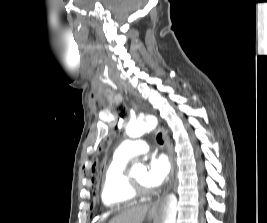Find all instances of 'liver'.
Here are the masks:
<instances>
[{"label":"liver","mask_w":267,"mask_h":223,"mask_svg":"<svg viewBox=\"0 0 267 223\" xmlns=\"http://www.w3.org/2000/svg\"><path fill=\"white\" fill-rule=\"evenodd\" d=\"M149 208L147 204L127 208L112 218L109 223H142Z\"/></svg>","instance_id":"obj_1"}]
</instances>
